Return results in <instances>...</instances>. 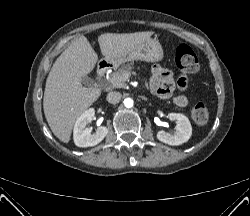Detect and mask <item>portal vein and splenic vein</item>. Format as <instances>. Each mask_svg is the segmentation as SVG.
Wrapping results in <instances>:
<instances>
[{
	"mask_svg": "<svg viewBox=\"0 0 250 216\" xmlns=\"http://www.w3.org/2000/svg\"><path fill=\"white\" fill-rule=\"evenodd\" d=\"M123 78H124V79H128V78H129V74H128V73H125V74L123 75Z\"/></svg>",
	"mask_w": 250,
	"mask_h": 216,
	"instance_id": "obj_1",
	"label": "portal vein and splenic vein"
}]
</instances>
